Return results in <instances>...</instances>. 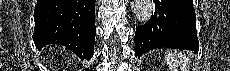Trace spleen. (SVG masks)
Instances as JSON below:
<instances>
[{
	"mask_svg": "<svg viewBox=\"0 0 230 71\" xmlns=\"http://www.w3.org/2000/svg\"><path fill=\"white\" fill-rule=\"evenodd\" d=\"M165 61L171 71H178L179 68L180 71H189V57L182 52H168Z\"/></svg>",
	"mask_w": 230,
	"mask_h": 71,
	"instance_id": "1",
	"label": "spleen"
}]
</instances>
